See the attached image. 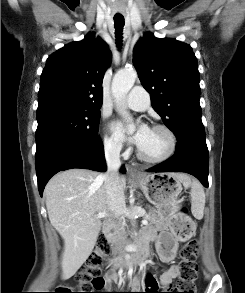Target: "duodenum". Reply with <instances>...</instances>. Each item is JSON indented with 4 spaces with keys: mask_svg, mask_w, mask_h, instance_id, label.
<instances>
[{
    "mask_svg": "<svg viewBox=\"0 0 245 293\" xmlns=\"http://www.w3.org/2000/svg\"><path fill=\"white\" fill-rule=\"evenodd\" d=\"M115 224V219L114 218H110L103 226V234L104 235H110L113 227ZM147 252H146V245L144 242L140 241L138 244V252L131 257L130 259H125L123 257L121 258H114L110 261V264L112 266H135L137 264H139V262L141 261L142 258H144L146 256Z\"/></svg>",
    "mask_w": 245,
    "mask_h": 293,
    "instance_id": "duodenum-1",
    "label": "duodenum"
}]
</instances>
